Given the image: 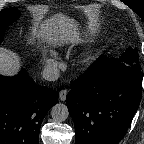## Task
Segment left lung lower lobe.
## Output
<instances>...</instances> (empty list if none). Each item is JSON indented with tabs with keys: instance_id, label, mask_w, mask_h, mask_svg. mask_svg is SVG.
I'll use <instances>...</instances> for the list:
<instances>
[{
	"instance_id": "obj_1",
	"label": "left lung lower lobe",
	"mask_w": 144,
	"mask_h": 144,
	"mask_svg": "<svg viewBox=\"0 0 144 144\" xmlns=\"http://www.w3.org/2000/svg\"><path fill=\"white\" fill-rule=\"evenodd\" d=\"M98 58L71 84L66 98L75 125V144H118L127 132L142 94L141 68Z\"/></svg>"
}]
</instances>
